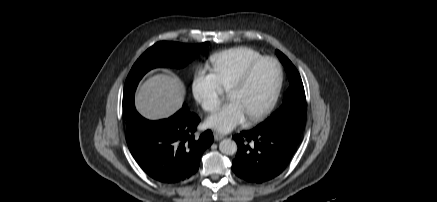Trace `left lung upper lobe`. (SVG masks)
Segmentation results:
<instances>
[{"mask_svg":"<svg viewBox=\"0 0 437 202\" xmlns=\"http://www.w3.org/2000/svg\"><path fill=\"white\" fill-rule=\"evenodd\" d=\"M276 54L285 66L290 85L281 107L259 126L286 124L302 131L306 115V97L301 77L295 66L283 53L276 50Z\"/></svg>","mask_w":437,"mask_h":202,"instance_id":"left-lung-upper-lobe-1","label":"left lung upper lobe"}]
</instances>
